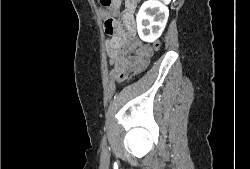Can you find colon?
<instances>
[{"label":"colon","mask_w":250,"mask_h":169,"mask_svg":"<svg viewBox=\"0 0 250 169\" xmlns=\"http://www.w3.org/2000/svg\"><path fill=\"white\" fill-rule=\"evenodd\" d=\"M101 4L102 6L106 7V8H113L115 6H117L118 4V1L117 0H101ZM118 29V23L117 21H113V20H109L106 22V31L108 33H112L113 31L117 30ZM160 41L159 40H155L153 45H152V54H147L149 57H152L154 56L159 50H160ZM150 61V58L147 62L139 65L136 69H135V72H131V79L133 77H136V74H142V72H146V69H148V63ZM128 83H124L125 85L126 84H130L129 83V79L127 80Z\"/></svg>","instance_id":"obj_1"}]
</instances>
